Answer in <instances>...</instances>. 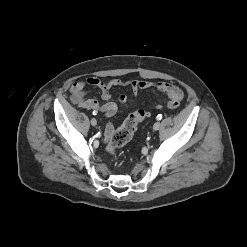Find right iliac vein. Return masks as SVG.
Masks as SVG:
<instances>
[{
	"label": "right iliac vein",
	"mask_w": 247,
	"mask_h": 247,
	"mask_svg": "<svg viewBox=\"0 0 247 247\" xmlns=\"http://www.w3.org/2000/svg\"><path fill=\"white\" fill-rule=\"evenodd\" d=\"M91 124H92V126H96L97 125L96 119L92 118L91 119Z\"/></svg>",
	"instance_id": "63e3f726"
}]
</instances>
